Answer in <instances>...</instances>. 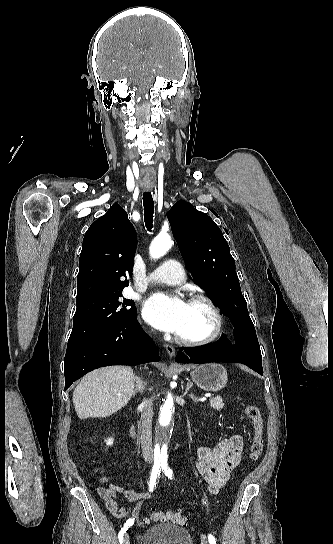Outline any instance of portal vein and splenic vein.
I'll return each mask as SVG.
<instances>
[{
  "instance_id": "18ae733b",
  "label": "portal vein and splenic vein",
  "mask_w": 333,
  "mask_h": 544,
  "mask_svg": "<svg viewBox=\"0 0 333 544\" xmlns=\"http://www.w3.org/2000/svg\"><path fill=\"white\" fill-rule=\"evenodd\" d=\"M118 395L120 396V394H118ZM207 397H211V394H209V393L205 394V398H207Z\"/></svg>"
}]
</instances>
